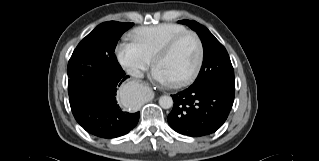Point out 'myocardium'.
I'll return each mask as SVG.
<instances>
[{"label":"myocardium","instance_id":"f54148a6","mask_svg":"<svg viewBox=\"0 0 319 161\" xmlns=\"http://www.w3.org/2000/svg\"><path fill=\"white\" fill-rule=\"evenodd\" d=\"M187 36L193 37L196 44H197V49H198L197 60H196L194 67L192 68V70H190L186 75H184L178 79L170 81L171 84L174 86L183 85V84L191 81L194 77L197 76V74L199 73V71L202 67L203 60H204V46H203L202 40L199 37V35L196 32L189 31V30H187L181 34H178V35L174 36L173 38H171L169 41H167L161 47V49L156 53V55L153 58V64H154V66H156L160 60H162L163 58L168 56L173 51L175 46L182 39H184Z\"/></svg>","mask_w":319,"mask_h":161}]
</instances>
